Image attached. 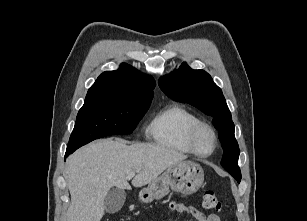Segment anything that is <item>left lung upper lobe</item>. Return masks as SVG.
Segmentation results:
<instances>
[{
	"instance_id": "5c2ea615",
	"label": "left lung upper lobe",
	"mask_w": 307,
	"mask_h": 221,
	"mask_svg": "<svg viewBox=\"0 0 307 221\" xmlns=\"http://www.w3.org/2000/svg\"><path fill=\"white\" fill-rule=\"evenodd\" d=\"M159 86L168 97L189 103L213 117L224 150L221 165L239 183L240 150L234 135V123L222 91L211 76L204 70H193L186 63H182L178 70L161 77Z\"/></svg>"
}]
</instances>
